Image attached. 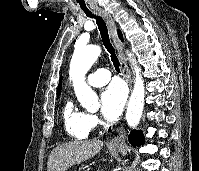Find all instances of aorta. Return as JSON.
<instances>
[{
    "instance_id": "1",
    "label": "aorta",
    "mask_w": 199,
    "mask_h": 171,
    "mask_svg": "<svg viewBox=\"0 0 199 171\" xmlns=\"http://www.w3.org/2000/svg\"><path fill=\"white\" fill-rule=\"evenodd\" d=\"M100 53V47L95 45L76 48L70 63L69 74L73 81L76 97L81 105L88 110L99 107L98 97L86 83L85 76ZM140 72L141 69L135 65L134 73L136 77L134 88L126 112V121L130 127L138 125L144 108L145 90Z\"/></svg>"
}]
</instances>
